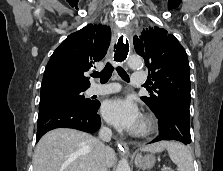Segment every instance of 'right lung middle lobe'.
Wrapping results in <instances>:
<instances>
[{
	"instance_id": "dd1d6c3e",
	"label": "right lung middle lobe",
	"mask_w": 223,
	"mask_h": 171,
	"mask_svg": "<svg viewBox=\"0 0 223 171\" xmlns=\"http://www.w3.org/2000/svg\"><path fill=\"white\" fill-rule=\"evenodd\" d=\"M83 91H72L54 94L48 97L40 98L39 109L43 107L55 104V103H75L84 107H93L95 101L91 99H86Z\"/></svg>"
}]
</instances>
